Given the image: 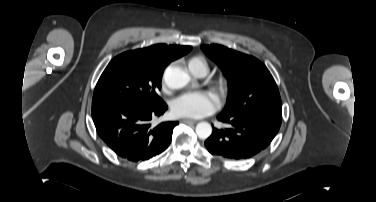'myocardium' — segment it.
<instances>
[{"label": "myocardium", "mask_w": 376, "mask_h": 202, "mask_svg": "<svg viewBox=\"0 0 376 202\" xmlns=\"http://www.w3.org/2000/svg\"><path fill=\"white\" fill-rule=\"evenodd\" d=\"M213 87L221 98H225L228 91V81L225 77H220L214 81Z\"/></svg>", "instance_id": "myocardium-1"}]
</instances>
